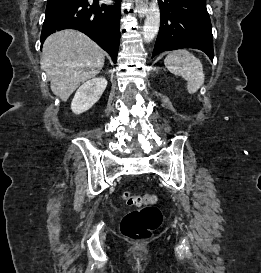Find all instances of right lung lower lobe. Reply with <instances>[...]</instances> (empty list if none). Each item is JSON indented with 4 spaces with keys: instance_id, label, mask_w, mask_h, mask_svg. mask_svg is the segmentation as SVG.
I'll return each mask as SVG.
<instances>
[{
    "instance_id": "right-lung-lower-lobe-1",
    "label": "right lung lower lobe",
    "mask_w": 261,
    "mask_h": 273,
    "mask_svg": "<svg viewBox=\"0 0 261 273\" xmlns=\"http://www.w3.org/2000/svg\"><path fill=\"white\" fill-rule=\"evenodd\" d=\"M99 5L98 0H48L41 43L55 31L76 29L107 51L114 63L120 40V2Z\"/></svg>"
}]
</instances>
